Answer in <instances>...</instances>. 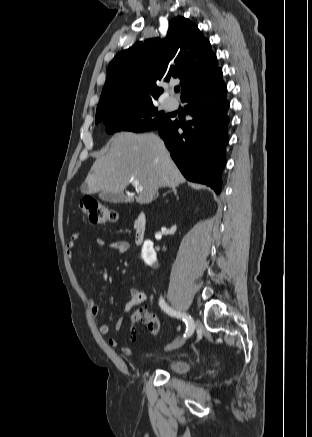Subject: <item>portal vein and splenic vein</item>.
<instances>
[{
	"mask_svg": "<svg viewBox=\"0 0 312 437\" xmlns=\"http://www.w3.org/2000/svg\"><path fill=\"white\" fill-rule=\"evenodd\" d=\"M132 185L138 190L141 191L143 190V186L140 184V182L138 180H133L132 181Z\"/></svg>",
	"mask_w": 312,
	"mask_h": 437,
	"instance_id": "obj_1",
	"label": "portal vein and splenic vein"
}]
</instances>
